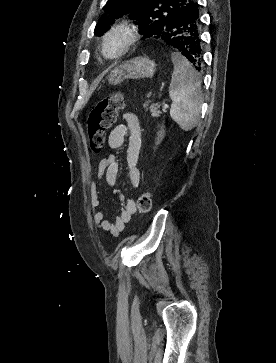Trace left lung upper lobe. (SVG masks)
Here are the masks:
<instances>
[{"mask_svg":"<svg viewBox=\"0 0 276 363\" xmlns=\"http://www.w3.org/2000/svg\"><path fill=\"white\" fill-rule=\"evenodd\" d=\"M194 0H109L104 6L106 13H112V18L101 17L95 27L94 33L101 35L114 22L115 17L129 14L131 19L137 20L140 33L144 38H158L159 35L171 30L178 12Z\"/></svg>","mask_w":276,"mask_h":363,"instance_id":"5c2ea615","label":"left lung upper lobe"}]
</instances>
